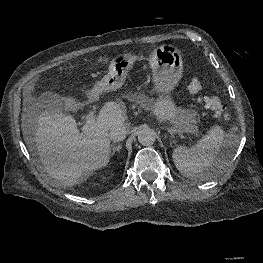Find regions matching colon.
I'll use <instances>...</instances> for the list:
<instances>
[{
  "label": "colon",
  "instance_id": "1",
  "mask_svg": "<svg viewBox=\"0 0 263 263\" xmlns=\"http://www.w3.org/2000/svg\"><path fill=\"white\" fill-rule=\"evenodd\" d=\"M202 90L203 87L201 82L197 78H192L188 84L189 93L196 96L199 101L203 102L204 105L213 112L216 119H227L228 113L221 100L215 95H201Z\"/></svg>",
  "mask_w": 263,
  "mask_h": 263
}]
</instances>
